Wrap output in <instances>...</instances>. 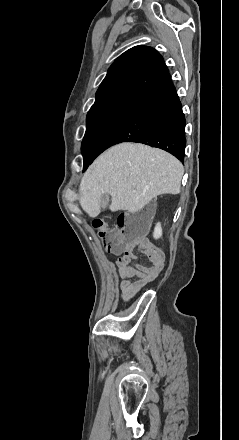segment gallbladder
Here are the masks:
<instances>
[{
    "label": "gallbladder",
    "instance_id": "1",
    "mask_svg": "<svg viewBox=\"0 0 239 440\" xmlns=\"http://www.w3.org/2000/svg\"><path fill=\"white\" fill-rule=\"evenodd\" d=\"M109 194H102L101 198H100V210H105V208H107L108 206V202H109Z\"/></svg>",
    "mask_w": 239,
    "mask_h": 440
}]
</instances>
